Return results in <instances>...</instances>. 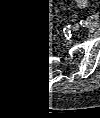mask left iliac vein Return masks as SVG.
<instances>
[{"label":"left iliac vein","instance_id":"left-iliac-vein-1","mask_svg":"<svg viewBox=\"0 0 100 118\" xmlns=\"http://www.w3.org/2000/svg\"><path fill=\"white\" fill-rule=\"evenodd\" d=\"M79 29H80L79 24H74L73 27H72V30H73L74 32L78 31Z\"/></svg>","mask_w":100,"mask_h":118}]
</instances>
